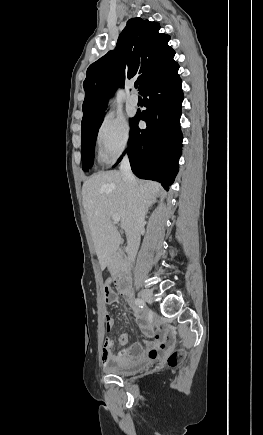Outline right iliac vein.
Masks as SVG:
<instances>
[{
  "mask_svg": "<svg viewBox=\"0 0 263 435\" xmlns=\"http://www.w3.org/2000/svg\"><path fill=\"white\" fill-rule=\"evenodd\" d=\"M140 296L143 300H145L148 303H151L153 300V293L149 289H143L140 292Z\"/></svg>",
  "mask_w": 263,
  "mask_h": 435,
  "instance_id": "63e3f726",
  "label": "right iliac vein"
}]
</instances>
